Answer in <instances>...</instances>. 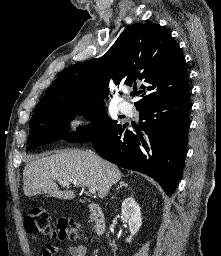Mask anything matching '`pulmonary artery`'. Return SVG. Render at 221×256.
<instances>
[{
    "label": "pulmonary artery",
    "instance_id": "e3ab8cb5",
    "mask_svg": "<svg viewBox=\"0 0 221 256\" xmlns=\"http://www.w3.org/2000/svg\"><path fill=\"white\" fill-rule=\"evenodd\" d=\"M119 109L122 113L127 114V115H131L133 112V106L126 101H122L119 104Z\"/></svg>",
    "mask_w": 221,
    "mask_h": 256
}]
</instances>
